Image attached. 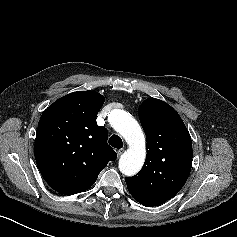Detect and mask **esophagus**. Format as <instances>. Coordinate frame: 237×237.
Listing matches in <instances>:
<instances>
[{
  "instance_id": "34e87169",
  "label": "esophagus",
  "mask_w": 237,
  "mask_h": 237,
  "mask_svg": "<svg viewBox=\"0 0 237 237\" xmlns=\"http://www.w3.org/2000/svg\"><path fill=\"white\" fill-rule=\"evenodd\" d=\"M123 152H124V149H119L117 151V156L120 157L123 154Z\"/></svg>"
}]
</instances>
